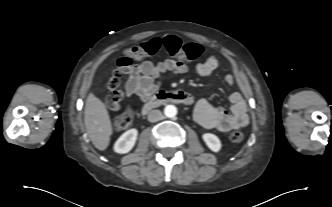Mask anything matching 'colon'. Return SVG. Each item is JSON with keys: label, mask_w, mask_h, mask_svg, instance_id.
<instances>
[{"label": "colon", "mask_w": 332, "mask_h": 207, "mask_svg": "<svg viewBox=\"0 0 332 207\" xmlns=\"http://www.w3.org/2000/svg\"><path fill=\"white\" fill-rule=\"evenodd\" d=\"M161 48H165L170 55L189 62L198 59L202 53V48L199 44L187 43L179 37L173 35L166 36L164 38L155 37L147 42L128 49L125 54L119 58L117 68L113 71L111 77L106 82V101L110 108L114 110L120 109V101L123 96V92L120 89L121 78L123 74L128 71L132 61L154 55ZM132 120L133 117L131 112H124L114 121V129L116 131L126 130L131 126ZM243 138V134L238 131L230 134V140L232 142H241Z\"/></svg>", "instance_id": "colon-1"}]
</instances>
